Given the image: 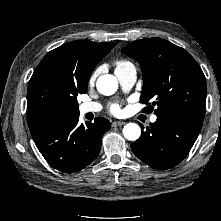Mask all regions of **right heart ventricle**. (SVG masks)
Segmentation results:
<instances>
[{"label":"right heart ventricle","instance_id":"1","mask_svg":"<svg viewBox=\"0 0 221 221\" xmlns=\"http://www.w3.org/2000/svg\"><path fill=\"white\" fill-rule=\"evenodd\" d=\"M130 64L128 61L125 60H119L115 62V71L120 70Z\"/></svg>","mask_w":221,"mask_h":221}]
</instances>
